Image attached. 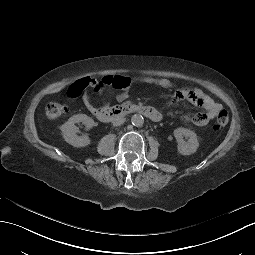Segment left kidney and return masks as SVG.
<instances>
[{
    "mask_svg": "<svg viewBox=\"0 0 255 255\" xmlns=\"http://www.w3.org/2000/svg\"><path fill=\"white\" fill-rule=\"evenodd\" d=\"M174 136L177 139L178 146H177V152L180 155H190L196 152V150L199 147V140L195 132L179 127L174 130ZM183 136H187L188 144H186L183 140Z\"/></svg>",
    "mask_w": 255,
    "mask_h": 255,
    "instance_id": "left-kidney-1",
    "label": "left kidney"
}]
</instances>
